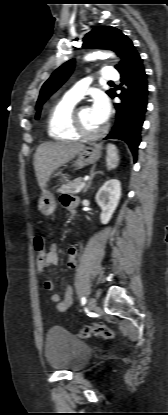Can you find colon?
<instances>
[{
  "label": "colon",
  "mask_w": 168,
  "mask_h": 415,
  "mask_svg": "<svg viewBox=\"0 0 168 415\" xmlns=\"http://www.w3.org/2000/svg\"><path fill=\"white\" fill-rule=\"evenodd\" d=\"M33 246L36 251V259L34 260L33 273L40 277L44 271L48 269L47 251L45 249V239L42 236H36L33 241ZM79 336L82 338H89L92 336H99L106 340H112L115 337V332L110 327L104 324H92L85 326L80 332Z\"/></svg>",
  "instance_id": "colon-1"
}]
</instances>
